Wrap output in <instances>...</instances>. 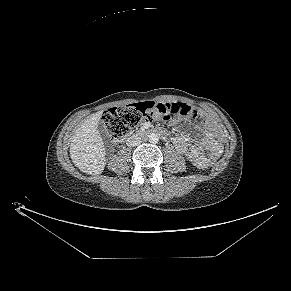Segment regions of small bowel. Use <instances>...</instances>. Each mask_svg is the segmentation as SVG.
I'll use <instances>...</instances> for the list:
<instances>
[{
	"label": "small bowel",
	"instance_id": "obj_1",
	"mask_svg": "<svg viewBox=\"0 0 291 291\" xmlns=\"http://www.w3.org/2000/svg\"><path fill=\"white\" fill-rule=\"evenodd\" d=\"M170 125L183 132L184 126H190V122H183L178 119L169 120ZM201 135L198 144H191L184 135H179L173 138L175 147L179 152L184 154L198 168H205L208 163V158L204 150H208L211 155L219 156L222 152L220 136L210 122L204 121L200 128Z\"/></svg>",
	"mask_w": 291,
	"mask_h": 291
}]
</instances>
